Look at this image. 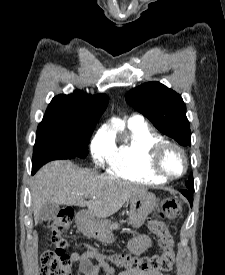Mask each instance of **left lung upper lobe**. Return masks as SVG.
<instances>
[{"label": "left lung upper lobe", "instance_id": "left-lung-upper-lobe-1", "mask_svg": "<svg viewBox=\"0 0 225 275\" xmlns=\"http://www.w3.org/2000/svg\"><path fill=\"white\" fill-rule=\"evenodd\" d=\"M126 101L146 116L159 131L172 137L182 146L191 145L186 106L178 93L159 82L152 81L130 90L126 95ZM186 186L188 189H194L192 175Z\"/></svg>", "mask_w": 225, "mask_h": 275}]
</instances>
